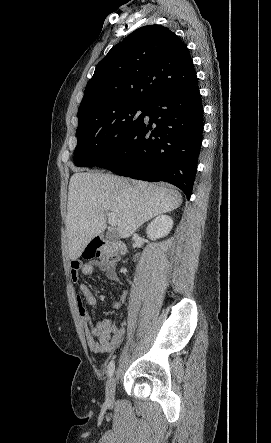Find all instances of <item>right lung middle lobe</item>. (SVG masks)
Instances as JSON below:
<instances>
[{"label":"right lung middle lobe","mask_w":271,"mask_h":443,"mask_svg":"<svg viewBox=\"0 0 271 443\" xmlns=\"http://www.w3.org/2000/svg\"><path fill=\"white\" fill-rule=\"evenodd\" d=\"M147 107L148 103H125L101 116L79 119L74 164L100 167L141 124Z\"/></svg>","instance_id":"obj_1"}]
</instances>
